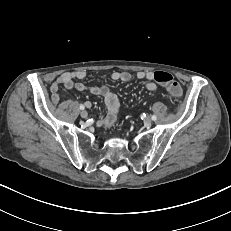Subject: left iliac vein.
Returning a JSON list of instances; mask_svg holds the SVG:
<instances>
[{"label": "left iliac vein", "mask_w": 231, "mask_h": 231, "mask_svg": "<svg viewBox=\"0 0 231 231\" xmlns=\"http://www.w3.org/2000/svg\"><path fill=\"white\" fill-rule=\"evenodd\" d=\"M144 124H145V126L150 127L151 124H152V120H151L149 117H147V118L144 120Z\"/></svg>", "instance_id": "left-iliac-vein-1"}]
</instances>
